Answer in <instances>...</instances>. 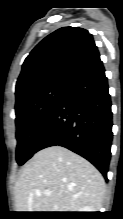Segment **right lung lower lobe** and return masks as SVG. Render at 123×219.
<instances>
[{
  "label": "right lung lower lobe",
  "instance_id": "98d812e1",
  "mask_svg": "<svg viewBox=\"0 0 123 219\" xmlns=\"http://www.w3.org/2000/svg\"><path fill=\"white\" fill-rule=\"evenodd\" d=\"M112 112L100 58L66 84L36 147L63 146L90 161L107 179L111 157Z\"/></svg>",
  "mask_w": 123,
  "mask_h": 219
}]
</instances>
